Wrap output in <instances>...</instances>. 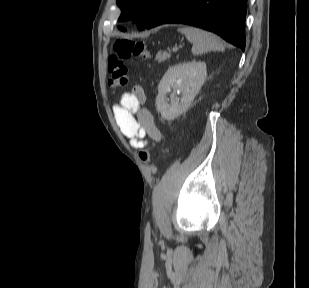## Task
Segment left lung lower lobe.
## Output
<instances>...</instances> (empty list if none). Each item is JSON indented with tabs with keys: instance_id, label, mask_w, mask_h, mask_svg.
<instances>
[{
	"instance_id": "left-lung-lower-lobe-1",
	"label": "left lung lower lobe",
	"mask_w": 309,
	"mask_h": 288,
	"mask_svg": "<svg viewBox=\"0 0 309 288\" xmlns=\"http://www.w3.org/2000/svg\"><path fill=\"white\" fill-rule=\"evenodd\" d=\"M247 0H168L145 28L167 23L200 27L245 49Z\"/></svg>"
}]
</instances>
